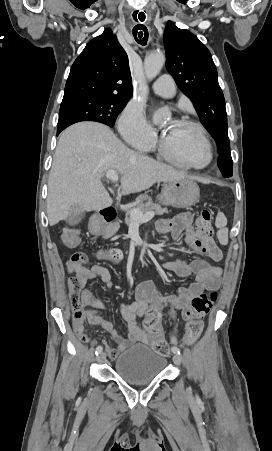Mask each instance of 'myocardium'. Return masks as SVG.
I'll use <instances>...</instances> for the list:
<instances>
[{"instance_id": "myocardium-1", "label": "myocardium", "mask_w": 272, "mask_h": 451, "mask_svg": "<svg viewBox=\"0 0 272 451\" xmlns=\"http://www.w3.org/2000/svg\"><path fill=\"white\" fill-rule=\"evenodd\" d=\"M174 120L181 124H184L186 126L192 127L197 131V133L199 134V137L206 149L207 155H208V160H207L206 164L203 166L197 167V166H193V165H189V164L185 163V165L183 167L186 170H190V171H202V170H205L208 167H210L214 160V153H213L211 143L205 133L204 128L199 123L194 122L189 119H186V118H183V117L175 118ZM161 149H162V152L164 155L167 156L169 154V146L167 144L166 135L164 133L161 136ZM171 161L177 165H179V162H180L179 158L175 155L171 157Z\"/></svg>"}]
</instances>
